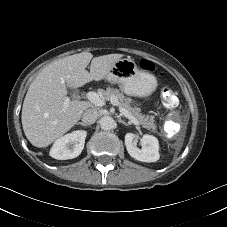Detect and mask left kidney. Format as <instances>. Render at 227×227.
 Listing matches in <instances>:
<instances>
[{
  "label": "left kidney",
  "mask_w": 227,
  "mask_h": 227,
  "mask_svg": "<svg viewBox=\"0 0 227 227\" xmlns=\"http://www.w3.org/2000/svg\"><path fill=\"white\" fill-rule=\"evenodd\" d=\"M136 135L127 133L125 135V145L129 155L135 160L142 162H156L159 160V142L158 139L152 135L145 134L140 139L142 149L134 144Z\"/></svg>",
  "instance_id": "1"
}]
</instances>
